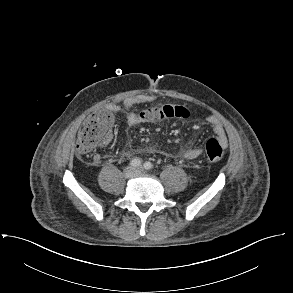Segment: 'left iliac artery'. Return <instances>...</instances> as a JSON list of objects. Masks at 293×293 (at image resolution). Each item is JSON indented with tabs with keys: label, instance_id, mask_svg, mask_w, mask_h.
<instances>
[{
	"label": "left iliac artery",
	"instance_id": "44dca946",
	"mask_svg": "<svg viewBox=\"0 0 293 293\" xmlns=\"http://www.w3.org/2000/svg\"><path fill=\"white\" fill-rule=\"evenodd\" d=\"M152 163L151 162H145L144 163V168L146 169V170H150V169H152Z\"/></svg>",
	"mask_w": 293,
	"mask_h": 293
}]
</instances>
